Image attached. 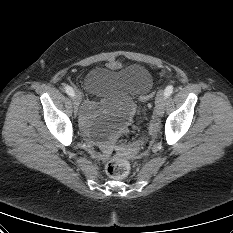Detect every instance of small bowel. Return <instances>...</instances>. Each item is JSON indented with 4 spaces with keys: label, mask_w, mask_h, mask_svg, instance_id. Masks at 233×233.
I'll list each match as a JSON object with an SVG mask.
<instances>
[{
    "label": "small bowel",
    "mask_w": 233,
    "mask_h": 233,
    "mask_svg": "<svg viewBox=\"0 0 233 233\" xmlns=\"http://www.w3.org/2000/svg\"><path fill=\"white\" fill-rule=\"evenodd\" d=\"M94 110H95V104L91 101L86 102L83 108V116H82V120L85 124H87V122L91 118V115L94 112Z\"/></svg>",
    "instance_id": "obj_1"
}]
</instances>
